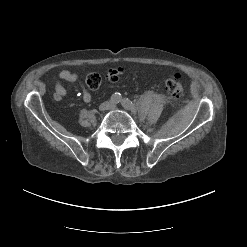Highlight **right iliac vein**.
<instances>
[{
	"label": "right iliac vein",
	"mask_w": 247,
	"mask_h": 247,
	"mask_svg": "<svg viewBox=\"0 0 247 247\" xmlns=\"http://www.w3.org/2000/svg\"><path fill=\"white\" fill-rule=\"evenodd\" d=\"M110 105H111L110 102H107V101H106V102H103L102 104H100L99 110H100L101 112L106 111V110L109 109Z\"/></svg>",
	"instance_id": "right-iliac-vein-1"
}]
</instances>
